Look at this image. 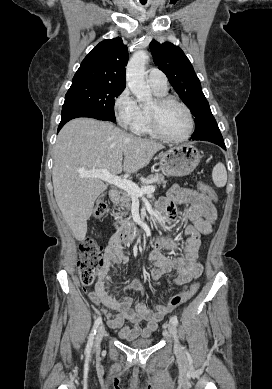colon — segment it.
Masks as SVG:
<instances>
[{
    "label": "colon",
    "instance_id": "obj_1",
    "mask_svg": "<svg viewBox=\"0 0 272 389\" xmlns=\"http://www.w3.org/2000/svg\"><path fill=\"white\" fill-rule=\"evenodd\" d=\"M199 189L210 199H214V191L207 183L200 182ZM107 208L108 205L105 201H99L94 208V216L101 218L107 212ZM79 252L78 273L80 281L84 286H90L94 283L97 272L104 264L102 248L95 240L86 238L80 243ZM197 288L198 286L194 284L187 290L174 295L169 300L167 306L173 310L190 299L197 291Z\"/></svg>",
    "mask_w": 272,
    "mask_h": 389
}]
</instances>
